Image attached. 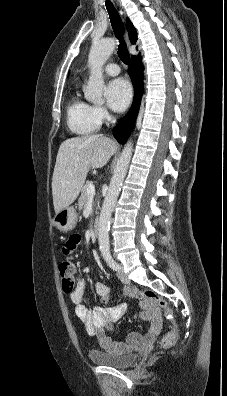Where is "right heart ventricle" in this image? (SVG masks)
Here are the masks:
<instances>
[{"label": "right heart ventricle", "mask_w": 227, "mask_h": 396, "mask_svg": "<svg viewBox=\"0 0 227 396\" xmlns=\"http://www.w3.org/2000/svg\"><path fill=\"white\" fill-rule=\"evenodd\" d=\"M67 125L77 135H88L95 132L100 122L97 120L93 105L74 94L66 110Z\"/></svg>", "instance_id": "right-heart-ventricle-1"}]
</instances>
